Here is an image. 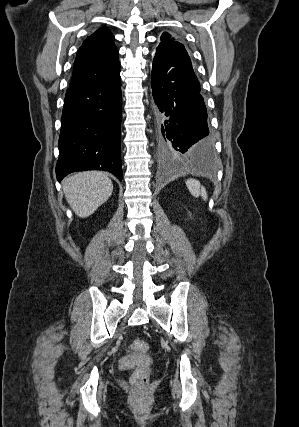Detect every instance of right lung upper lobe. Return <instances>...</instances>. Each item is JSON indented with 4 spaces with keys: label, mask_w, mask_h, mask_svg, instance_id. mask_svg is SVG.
I'll return each mask as SVG.
<instances>
[{
    "label": "right lung upper lobe",
    "mask_w": 299,
    "mask_h": 427,
    "mask_svg": "<svg viewBox=\"0 0 299 427\" xmlns=\"http://www.w3.org/2000/svg\"><path fill=\"white\" fill-rule=\"evenodd\" d=\"M120 69L114 36L107 28H100L81 45L74 62L71 87L101 81Z\"/></svg>",
    "instance_id": "obj_1"
}]
</instances>
